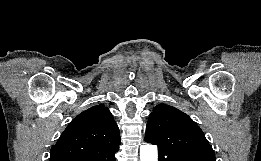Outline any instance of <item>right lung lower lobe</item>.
<instances>
[{
	"mask_svg": "<svg viewBox=\"0 0 261 161\" xmlns=\"http://www.w3.org/2000/svg\"><path fill=\"white\" fill-rule=\"evenodd\" d=\"M118 149L119 147L97 155L80 157L73 161H116L114 155L118 151Z\"/></svg>",
	"mask_w": 261,
	"mask_h": 161,
	"instance_id": "98d812e1",
	"label": "right lung lower lobe"
}]
</instances>
